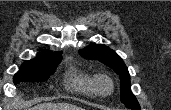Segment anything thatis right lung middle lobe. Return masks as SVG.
Returning <instances> with one entry per match:
<instances>
[{"label": "right lung middle lobe", "instance_id": "1", "mask_svg": "<svg viewBox=\"0 0 171 110\" xmlns=\"http://www.w3.org/2000/svg\"><path fill=\"white\" fill-rule=\"evenodd\" d=\"M62 57H56L45 61L31 60L23 64L20 70L14 75V83L19 82H42L49 78L56 66L61 62Z\"/></svg>", "mask_w": 171, "mask_h": 110}]
</instances>
